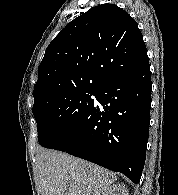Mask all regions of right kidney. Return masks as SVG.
<instances>
[{"instance_id": "right-kidney-1", "label": "right kidney", "mask_w": 178, "mask_h": 195, "mask_svg": "<svg viewBox=\"0 0 178 195\" xmlns=\"http://www.w3.org/2000/svg\"><path fill=\"white\" fill-rule=\"evenodd\" d=\"M103 195H129L128 189L124 184H113L108 187Z\"/></svg>"}]
</instances>
